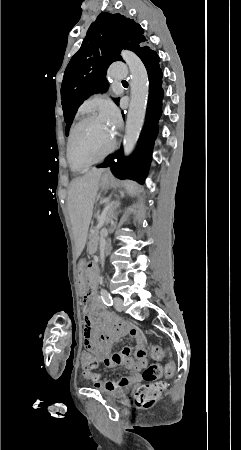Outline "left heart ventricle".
<instances>
[{"mask_svg":"<svg viewBox=\"0 0 241 450\" xmlns=\"http://www.w3.org/2000/svg\"><path fill=\"white\" fill-rule=\"evenodd\" d=\"M80 129H76V138L73 145L75 162L77 165H94L95 160H101L102 153H109L114 132L102 114L95 112L82 115L78 121Z\"/></svg>","mask_w":241,"mask_h":450,"instance_id":"left-heart-ventricle-1","label":"left heart ventricle"}]
</instances>
